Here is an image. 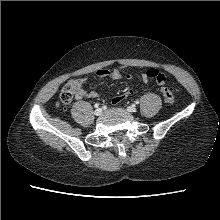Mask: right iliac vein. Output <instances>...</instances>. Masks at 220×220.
I'll use <instances>...</instances> for the list:
<instances>
[{"instance_id":"63e3f726","label":"right iliac vein","mask_w":220,"mask_h":220,"mask_svg":"<svg viewBox=\"0 0 220 220\" xmlns=\"http://www.w3.org/2000/svg\"><path fill=\"white\" fill-rule=\"evenodd\" d=\"M101 113H102V109H101V108H97V109L94 111V114H95L96 116L101 115Z\"/></svg>"}]
</instances>
